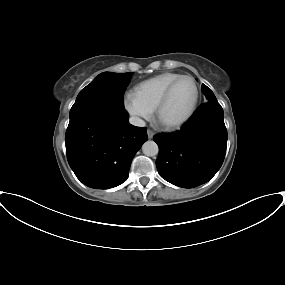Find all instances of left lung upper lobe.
<instances>
[{
  "mask_svg": "<svg viewBox=\"0 0 285 285\" xmlns=\"http://www.w3.org/2000/svg\"><path fill=\"white\" fill-rule=\"evenodd\" d=\"M202 91L207 97L208 102H218L213 92L204 84L202 85Z\"/></svg>",
  "mask_w": 285,
  "mask_h": 285,
  "instance_id": "1",
  "label": "left lung upper lobe"
}]
</instances>
